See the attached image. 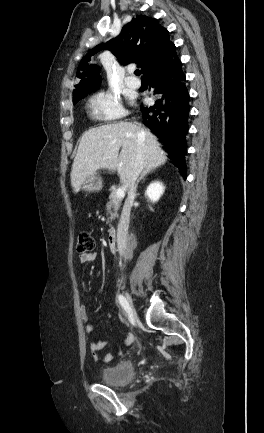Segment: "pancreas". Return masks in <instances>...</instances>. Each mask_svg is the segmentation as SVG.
<instances>
[{"instance_id":"1","label":"pancreas","mask_w":264,"mask_h":433,"mask_svg":"<svg viewBox=\"0 0 264 433\" xmlns=\"http://www.w3.org/2000/svg\"><path fill=\"white\" fill-rule=\"evenodd\" d=\"M122 199L116 196V190H113L109 196V202L106 204V210L110 214L109 222H112L118 216V210ZM111 226V225H110Z\"/></svg>"}]
</instances>
